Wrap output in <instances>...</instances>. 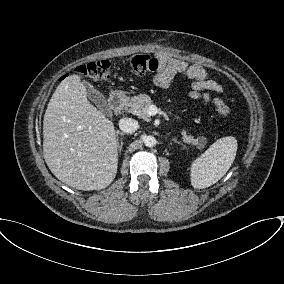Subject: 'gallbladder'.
<instances>
[{"mask_svg": "<svg viewBox=\"0 0 284 284\" xmlns=\"http://www.w3.org/2000/svg\"><path fill=\"white\" fill-rule=\"evenodd\" d=\"M84 86L86 87V91H87V95L89 99L94 103V105L104 114L106 115L110 114V108L108 106V103L104 95L100 93L98 90H96L89 83H85Z\"/></svg>", "mask_w": 284, "mask_h": 284, "instance_id": "bac80fb5", "label": "gallbladder"}]
</instances>
